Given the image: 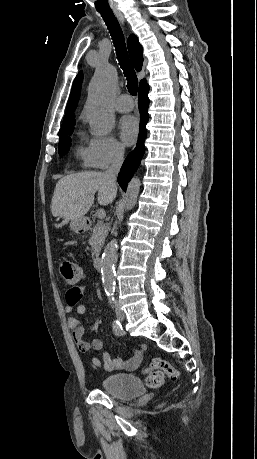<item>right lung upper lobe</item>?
Returning a JSON list of instances; mask_svg holds the SVG:
<instances>
[{
  "mask_svg": "<svg viewBox=\"0 0 257 459\" xmlns=\"http://www.w3.org/2000/svg\"><path fill=\"white\" fill-rule=\"evenodd\" d=\"M127 46H128V51H129V55H130L132 64L134 65L137 71H140L142 68V64H143V54H142L143 49L140 43L138 42V38L134 34H131L129 36L127 40ZM82 79H83V75H82V72H80L74 80L71 94L69 97V102H68L67 109H66V115L64 116L63 124L60 129V132L66 129L72 128L75 125V119H74L73 113L77 107L78 100L80 97ZM145 81L146 80L143 79L140 83H143Z\"/></svg>",
  "mask_w": 257,
  "mask_h": 459,
  "instance_id": "cb5924a9",
  "label": "right lung upper lobe"
}]
</instances>
